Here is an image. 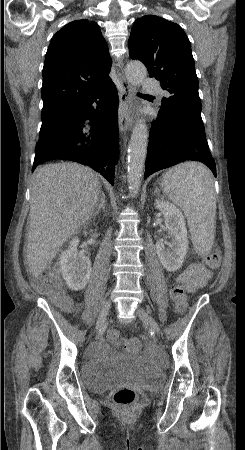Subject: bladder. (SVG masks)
Masks as SVG:
<instances>
[{
	"label": "bladder",
	"mask_w": 245,
	"mask_h": 450,
	"mask_svg": "<svg viewBox=\"0 0 245 450\" xmlns=\"http://www.w3.org/2000/svg\"><path fill=\"white\" fill-rule=\"evenodd\" d=\"M81 377L90 392L103 394L124 385L154 387L160 376L136 355H115L85 361Z\"/></svg>",
	"instance_id": "obj_1"
}]
</instances>
